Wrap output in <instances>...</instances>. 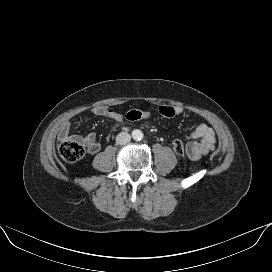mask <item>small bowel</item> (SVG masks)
I'll return each mask as SVG.
<instances>
[{
	"mask_svg": "<svg viewBox=\"0 0 272 272\" xmlns=\"http://www.w3.org/2000/svg\"><path fill=\"white\" fill-rule=\"evenodd\" d=\"M175 111L178 116L182 115L184 112L183 108L179 106L175 108ZM91 112L95 116L108 117L118 123H121L124 119L123 115L119 111L109 106H98L93 108ZM71 124V121H65L62 123L58 133L59 140L77 141L85 145L89 153H97L100 150V144L97 142L95 133L89 132L85 135H71ZM188 139L189 142L184 148L187 156L192 160H199L213 150L216 142V135L215 131L211 127L206 124H198L189 133Z\"/></svg>",
	"mask_w": 272,
	"mask_h": 272,
	"instance_id": "c3829d8e",
	"label": "small bowel"
}]
</instances>
